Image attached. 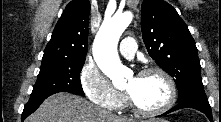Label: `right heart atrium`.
Here are the masks:
<instances>
[{"instance_id":"obj_1","label":"right heart atrium","mask_w":221,"mask_h":122,"mask_svg":"<svg viewBox=\"0 0 221 122\" xmlns=\"http://www.w3.org/2000/svg\"><path fill=\"white\" fill-rule=\"evenodd\" d=\"M79 81L86 97L95 105L107 110L118 109L124 99L106 75L92 60H87L79 73Z\"/></svg>"}]
</instances>
